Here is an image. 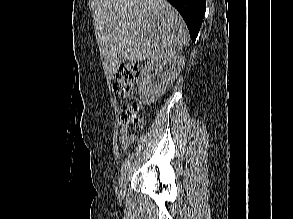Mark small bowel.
<instances>
[{
  "label": "small bowel",
  "instance_id": "c3829d8e",
  "mask_svg": "<svg viewBox=\"0 0 293 219\" xmlns=\"http://www.w3.org/2000/svg\"><path fill=\"white\" fill-rule=\"evenodd\" d=\"M133 140L134 135H130L129 131L126 128H122L119 135V141L122 150H125Z\"/></svg>",
  "mask_w": 293,
  "mask_h": 219
}]
</instances>
